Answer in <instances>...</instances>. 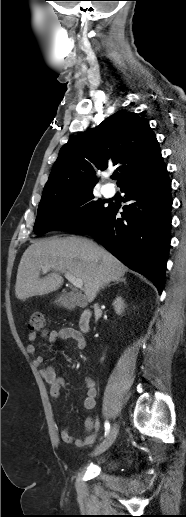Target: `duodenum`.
<instances>
[{
    "label": "duodenum",
    "instance_id": "1",
    "mask_svg": "<svg viewBox=\"0 0 186 517\" xmlns=\"http://www.w3.org/2000/svg\"><path fill=\"white\" fill-rule=\"evenodd\" d=\"M92 312L89 309H85L79 318V328L81 332L87 333L90 330Z\"/></svg>",
    "mask_w": 186,
    "mask_h": 517
}]
</instances>
